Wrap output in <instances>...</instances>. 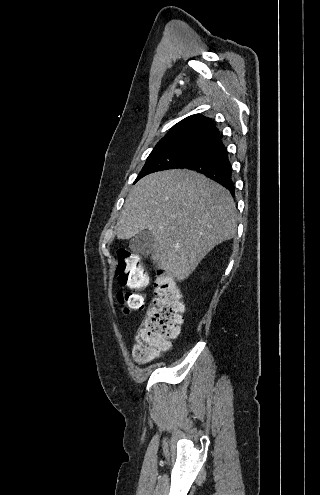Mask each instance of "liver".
<instances>
[{
    "label": "liver",
    "instance_id": "obj_1",
    "mask_svg": "<svg viewBox=\"0 0 320 495\" xmlns=\"http://www.w3.org/2000/svg\"><path fill=\"white\" fill-rule=\"evenodd\" d=\"M236 219L226 188L195 171L172 169L149 174L131 189L117 238L128 240L150 230L151 259L181 282L216 245L236 234Z\"/></svg>",
    "mask_w": 320,
    "mask_h": 495
}]
</instances>
